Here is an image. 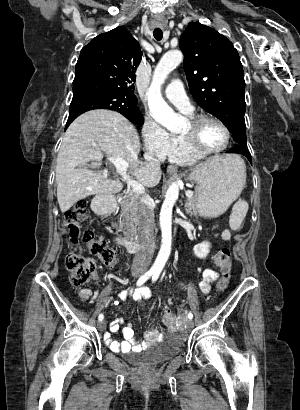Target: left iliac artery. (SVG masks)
<instances>
[{"mask_svg": "<svg viewBox=\"0 0 300 410\" xmlns=\"http://www.w3.org/2000/svg\"><path fill=\"white\" fill-rule=\"evenodd\" d=\"M158 277H159V273H158V272H155V273L153 274V276H152V281H153V282L156 281V280L158 279ZM188 318H189V319H192V318H193V314H192L191 312L188 313Z\"/></svg>", "mask_w": 300, "mask_h": 410, "instance_id": "obj_1", "label": "left iliac artery"}]
</instances>
